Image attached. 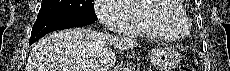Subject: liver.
<instances>
[{"label": "liver", "instance_id": "1", "mask_svg": "<svg viewBox=\"0 0 230 71\" xmlns=\"http://www.w3.org/2000/svg\"><path fill=\"white\" fill-rule=\"evenodd\" d=\"M137 45L90 29L54 32L34 45L26 71H110L116 62L113 48L124 51Z\"/></svg>", "mask_w": 230, "mask_h": 71}]
</instances>
